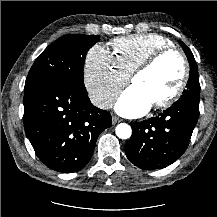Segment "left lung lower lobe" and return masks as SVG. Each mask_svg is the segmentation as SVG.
I'll return each instance as SVG.
<instances>
[{
    "mask_svg": "<svg viewBox=\"0 0 217 217\" xmlns=\"http://www.w3.org/2000/svg\"><path fill=\"white\" fill-rule=\"evenodd\" d=\"M198 117L199 101L180 98L158 116L132 122L127 158L143 170L167 167L187 149Z\"/></svg>",
    "mask_w": 217,
    "mask_h": 217,
    "instance_id": "1",
    "label": "left lung lower lobe"
}]
</instances>
